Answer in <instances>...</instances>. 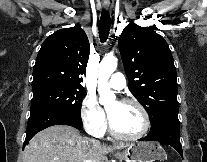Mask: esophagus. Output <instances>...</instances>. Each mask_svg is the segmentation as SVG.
Here are the masks:
<instances>
[{
    "instance_id": "34e87169",
    "label": "esophagus",
    "mask_w": 207,
    "mask_h": 162,
    "mask_svg": "<svg viewBox=\"0 0 207 162\" xmlns=\"http://www.w3.org/2000/svg\"><path fill=\"white\" fill-rule=\"evenodd\" d=\"M103 6L107 14H110L112 12V5H111L110 0H105Z\"/></svg>"
}]
</instances>
